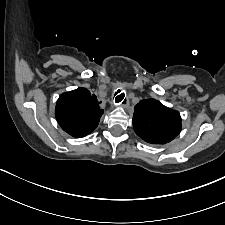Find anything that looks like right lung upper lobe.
<instances>
[{"label": "right lung upper lobe", "instance_id": "obj_1", "mask_svg": "<svg viewBox=\"0 0 225 225\" xmlns=\"http://www.w3.org/2000/svg\"><path fill=\"white\" fill-rule=\"evenodd\" d=\"M102 114L103 110L100 109L96 96L91 95L86 88L61 94L55 107L59 125L76 138L91 133L97 127Z\"/></svg>", "mask_w": 225, "mask_h": 225}]
</instances>
